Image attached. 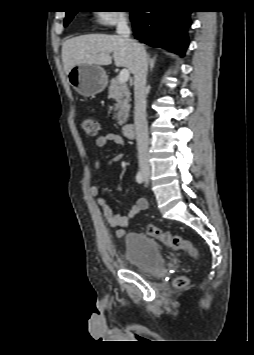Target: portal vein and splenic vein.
Returning a JSON list of instances; mask_svg holds the SVG:
<instances>
[{
  "instance_id": "18ae733b",
  "label": "portal vein and splenic vein",
  "mask_w": 254,
  "mask_h": 355,
  "mask_svg": "<svg viewBox=\"0 0 254 355\" xmlns=\"http://www.w3.org/2000/svg\"><path fill=\"white\" fill-rule=\"evenodd\" d=\"M130 77V72L128 69H122L119 73L118 80L120 83H126Z\"/></svg>"
}]
</instances>
